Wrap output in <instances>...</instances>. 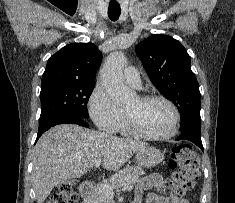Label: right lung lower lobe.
<instances>
[{"instance_id": "1", "label": "right lung lower lobe", "mask_w": 235, "mask_h": 203, "mask_svg": "<svg viewBox=\"0 0 235 203\" xmlns=\"http://www.w3.org/2000/svg\"><path fill=\"white\" fill-rule=\"evenodd\" d=\"M58 124H77V125L84 126V127L89 126L87 122L85 121V119H82V118L69 116V115L56 116V117L47 119L43 122H39V129H38L36 142L45 131H47L51 127L56 126Z\"/></svg>"}]
</instances>
